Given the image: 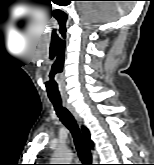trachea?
<instances>
[{
  "label": "trachea",
  "instance_id": "1",
  "mask_svg": "<svg viewBox=\"0 0 154 165\" xmlns=\"http://www.w3.org/2000/svg\"><path fill=\"white\" fill-rule=\"evenodd\" d=\"M50 101L54 106L57 116L60 118L62 123L70 130L74 138V143L78 152L79 159L83 163L81 165H92L91 152L82 138V135L73 115L67 108L63 106L61 98H50Z\"/></svg>",
  "mask_w": 154,
  "mask_h": 165
}]
</instances>
